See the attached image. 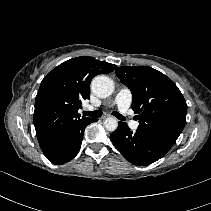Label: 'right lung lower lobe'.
<instances>
[{"mask_svg": "<svg viewBox=\"0 0 211 211\" xmlns=\"http://www.w3.org/2000/svg\"><path fill=\"white\" fill-rule=\"evenodd\" d=\"M95 121L97 119H90L72 128L51 145L43 148L44 155L50 162L57 165L69 162L80 150L85 127Z\"/></svg>", "mask_w": 211, "mask_h": 211, "instance_id": "98d812e1", "label": "right lung lower lobe"}]
</instances>
